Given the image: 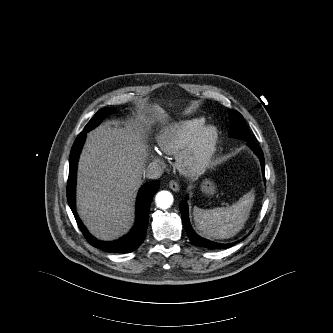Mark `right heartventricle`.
I'll list each match as a JSON object with an SVG mask.
<instances>
[{"label": "right heart ventricle", "mask_w": 333, "mask_h": 333, "mask_svg": "<svg viewBox=\"0 0 333 333\" xmlns=\"http://www.w3.org/2000/svg\"><path fill=\"white\" fill-rule=\"evenodd\" d=\"M204 117L183 119L164 127L157 135V145L162 153L178 155L205 125Z\"/></svg>", "instance_id": "1"}]
</instances>
